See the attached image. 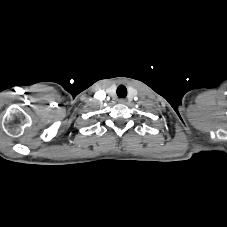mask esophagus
I'll return each mask as SVG.
<instances>
[{
    "instance_id": "34e87169",
    "label": "esophagus",
    "mask_w": 227,
    "mask_h": 227,
    "mask_svg": "<svg viewBox=\"0 0 227 227\" xmlns=\"http://www.w3.org/2000/svg\"><path fill=\"white\" fill-rule=\"evenodd\" d=\"M119 103H121V104H125V103H126V100H125V99H123V98H121V99H119Z\"/></svg>"
}]
</instances>
